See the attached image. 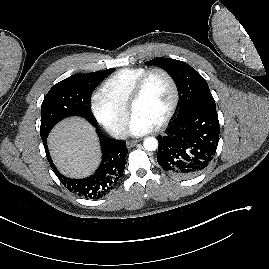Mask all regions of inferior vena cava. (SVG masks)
<instances>
[{
  "mask_svg": "<svg viewBox=\"0 0 269 269\" xmlns=\"http://www.w3.org/2000/svg\"><path fill=\"white\" fill-rule=\"evenodd\" d=\"M112 136L116 139H126L128 131L124 127H118L112 131Z\"/></svg>",
  "mask_w": 269,
  "mask_h": 269,
  "instance_id": "inferior-vena-cava-1",
  "label": "inferior vena cava"
}]
</instances>
